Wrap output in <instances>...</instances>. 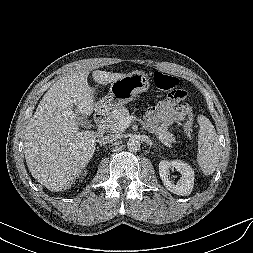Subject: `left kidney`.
<instances>
[{
	"label": "left kidney",
	"instance_id": "obj_1",
	"mask_svg": "<svg viewBox=\"0 0 253 253\" xmlns=\"http://www.w3.org/2000/svg\"><path fill=\"white\" fill-rule=\"evenodd\" d=\"M176 169L180 174V180L175 184L170 180V170ZM159 175L164 186L170 192L187 196L192 192L194 185V171L190 165L181 160H162L159 163Z\"/></svg>",
	"mask_w": 253,
	"mask_h": 253
}]
</instances>
